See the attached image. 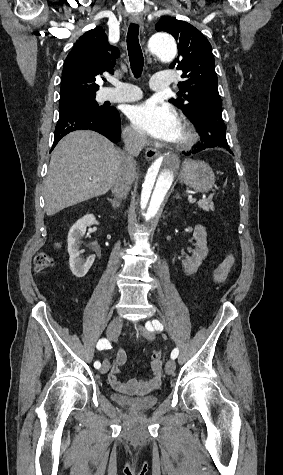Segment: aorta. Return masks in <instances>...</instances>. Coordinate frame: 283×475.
Segmentation results:
<instances>
[{
    "label": "aorta",
    "instance_id": "obj_1",
    "mask_svg": "<svg viewBox=\"0 0 283 475\" xmlns=\"http://www.w3.org/2000/svg\"><path fill=\"white\" fill-rule=\"evenodd\" d=\"M149 51L162 62H171L177 54L174 38L166 33L154 34L148 42ZM179 169V157L168 152L149 167L142 184L137 212L139 228L154 225L158 220Z\"/></svg>",
    "mask_w": 283,
    "mask_h": 475
}]
</instances>
